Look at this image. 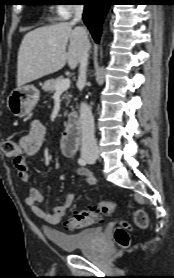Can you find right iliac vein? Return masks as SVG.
<instances>
[{"instance_id": "right-iliac-vein-1", "label": "right iliac vein", "mask_w": 174, "mask_h": 278, "mask_svg": "<svg viewBox=\"0 0 174 278\" xmlns=\"http://www.w3.org/2000/svg\"><path fill=\"white\" fill-rule=\"evenodd\" d=\"M85 157H86L87 159H93V160H95V159H98V158H99V154H98V152H91V153L86 154Z\"/></svg>"}]
</instances>
